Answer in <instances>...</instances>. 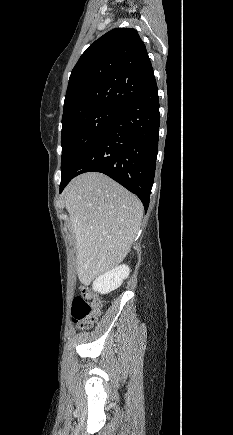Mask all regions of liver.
Returning a JSON list of instances; mask_svg holds the SVG:
<instances>
[{
	"label": "liver",
	"instance_id": "6515ba94",
	"mask_svg": "<svg viewBox=\"0 0 233 435\" xmlns=\"http://www.w3.org/2000/svg\"><path fill=\"white\" fill-rule=\"evenodd\" d=\"M63 195L75 235L78 278L90 283L129 253L141 225L143 205L137 196L97 172L74 178Z\"/></svg>",
	"mask_w": 233,
	"mask_h": 435
}]
</instances>
